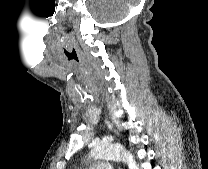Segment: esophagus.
<instances>
[{"instance_id": "34e87169", "label": "esophagus", "mask_w": 208, "mask_h": 169, "mask_svg": "<svg viewBox=\"0 0 208 169\" xmlns=\"http://www.w3.org/2000/svg\"><path fill=\"white\" fill-rule=\"evenodd\" d=\"M105 121H106V123H107V125H108L109 128H112L113 127V125L107 119Z\"/></svg>"}]
</instances>
